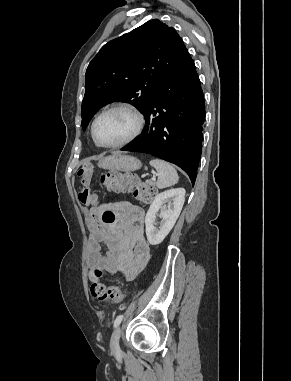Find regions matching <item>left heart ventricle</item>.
I'll return each instance as SVG.
<instances>
[{"instance_id": "left-heart-ventricle-1", "label": "left heart ventricle", "mask_w": 291, "mask_h": 381, "mask_svg": "<svg viewBox=\"0 0 291 381\" xmlns=\"http://www.w3.org/2000/svg\"><path fill=\"white\" fill-rule=\"evenodd\" d=\"M135 116L127 110H115L101 117L96 125L98 139L104 144L118 143L132 134Z\"/></svg>"}]
</instances>
